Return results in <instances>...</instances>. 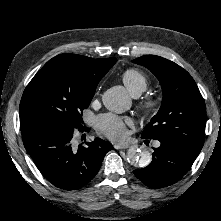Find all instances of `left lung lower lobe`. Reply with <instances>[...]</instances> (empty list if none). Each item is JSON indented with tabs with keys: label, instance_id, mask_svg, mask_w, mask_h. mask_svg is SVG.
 Returning <instances> with one entry per match:
<instances>
[{
	"label": "left lung lower lobe",
	"instance_id": "obj_1",
	"mask_svg": "<svg viewBox=\"0 0 221 221\" xmlns=\"http://www.w3.org/2000/svg\"><path fill=\"white\" fill-rule=\"evenodd\" d=\"M152 162L134 174L150 188H162L176 183L191 168L198 154L181 145L161 142L154 148Z\"/></svg>",
	"mask_w": 221,
	"mask_h": 221
}]
</instances>
